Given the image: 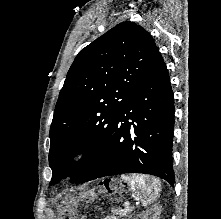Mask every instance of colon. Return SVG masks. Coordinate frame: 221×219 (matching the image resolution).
<instances>
[{
	"label": "colon",
	"mask_w": 221,
	"mask_h": 219,
	"mask_svg": "<svg viewBox=\"0 0 221 219\" xmlns=\"http://www.w3.org/2000/svg\"><path fill=\"white\" fill-rule=\"evenodd\" d=\"M64 219H84V218L73 210H67L65 211Z\"/></svg>",
	"instance_id": "colon-1"
}]
</instances>
